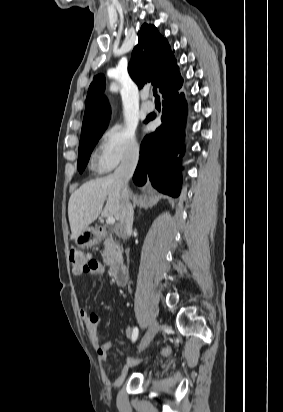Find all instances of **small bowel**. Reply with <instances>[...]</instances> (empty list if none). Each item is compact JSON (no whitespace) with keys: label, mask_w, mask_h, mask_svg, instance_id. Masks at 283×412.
<instances>
[{"label":"small bowel","mask_w":283,"mask_h":412,"mask_svg":"<svg viewBox=\"0 0 283 412\" xmlns=\"http://www.w3.org/2000/svg\"><path fill=\"white\" fill-rule=\"evenodd\" d=\"M104 273V267L99 263L98 265V270L90 273L93 276H101ZM80 318L82 320V323L84 325V328L86 330V333L89 337V340L93 347L96 350L98 360L100 362H103L107 359L108 353L111 350L113 344L111 341H106L102 343L99 339L98 336V326L100 323V317L98 314L94 312H88L85 309H81L79 311ZM133 334V329L128 327L125 329V336L126 337H132ZM172 353V349L170 347H165L162 349L161 354L163 356H168ZM138 363V360L132 359V358H127L126 362L118 376L115 377H109L104 370H101V377L105 383L111 386H117L122 383L124 380L128 369Z\"/></svg>","instance_id":"small-bowel-1"}]
</instances>
